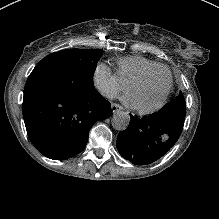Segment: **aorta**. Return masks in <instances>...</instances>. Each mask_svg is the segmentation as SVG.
I'll return each instance as SVG.
<instances>
[{"instance_id":"1","label":"aorta","mask_w":219,"mask_h":219,"mask_svg":"<svg viewBox=\"0 0 219 219\" xmlns=\"http://www.w3.org/2000/svg\"><path fill=\"white\" fill-rule=\"evenodd\" d=\"M112 127L118 131H124L130 124V116L124 111H116L111 119Z\"/></svg>"}]
</instances>
